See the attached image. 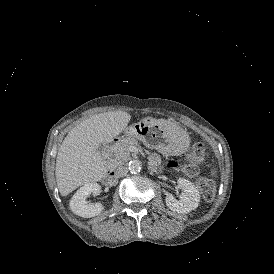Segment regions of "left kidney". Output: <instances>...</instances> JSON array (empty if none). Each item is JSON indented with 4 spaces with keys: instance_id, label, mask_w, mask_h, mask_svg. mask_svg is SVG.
Instances as JSON below:
<instances>
[{
    "instance_id": "left-kidney-1",
    "label": "left kidney",
    "mask_w": 274,
    "mask_h": 274,
    "mask_svg": "<svg viewBox=\"0 0 274 274\" xmlns=\"http://www.w3.org/2000/svg\"><path fill=\"white\" fill-rule=\"evenodd\" d=\"M178 185L182 188L183 193L180 195V199L177 200L172 194L166 196V205L172 211L178 213H188L198 207L200 201V194L196 186L183 178L178 179Z\"/></svg>"
}]
</instances>
